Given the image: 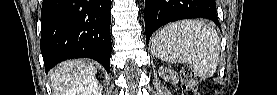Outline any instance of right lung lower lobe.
Instances as JSON below:
<instances>
[{
    "mask_svg": "<svg viewBox=\"0 0 277 95\" xmlns=\"http://www.w3.org/2000/svg\"><path fill=\"white\" fill-rule=\"evenodd\" d=\"M110 0H44L40 48L45 71L72 58H91L110 72Z\"/></svg>",
    "mask_w": 277,
    "mask_h": 95,
    "instance_id": "1",
    "label": "right lung lower lobe"
}]
</instances>
